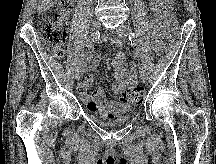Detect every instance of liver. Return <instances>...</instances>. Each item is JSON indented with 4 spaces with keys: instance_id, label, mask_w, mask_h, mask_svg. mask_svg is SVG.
Listing matches in <instances>:
<instances>
[{
    "instance_id": "liver-1",
    "label": "liver",
    "mask_w": 216,
    "mask_h": 164,
    "mask_svg": "<svg viewBox=\"0 0 216 164\" xmlns=\"http://www.w3.org/2000/svg\"><path fill=\"white\" fill-rule=\"evenodd\" d=\"M58 0H39L38 12L43 13L49 10Z\"/></svg>"
}]
</instances>
